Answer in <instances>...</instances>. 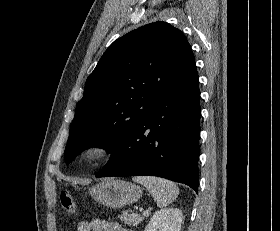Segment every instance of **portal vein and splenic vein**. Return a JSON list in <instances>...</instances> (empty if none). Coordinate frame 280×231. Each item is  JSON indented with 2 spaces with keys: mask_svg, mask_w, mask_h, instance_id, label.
I'll return each mask as SVG.
<instances>
[{
  "mask_svg": "<svg viewBox=\"0 0 280 231\" xmlns=\"http://www.w3.org/2000/svg\"><path fill=\"white\" fill-rule=\"evenodd\" d=\"M150 211L149 209H146V211H143V215H149Z\"/></svg>",
  "mask_w": 280,
  "mask_h": 231,
  "instance_id": "portal-vein-and-splenic-vein-1",
  "label": "portal vein and splenic vein"
}]
</instances>
